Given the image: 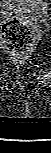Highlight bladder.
<instances>
[{
	"label": "bladder",
	"mask_w": 51,
	"mask_h": 153,
	"mask_svg": "<svg viewBox=\"0 0 51 153\" xmlns=\"http://www.w3.org/2000/svg\"><path fill=\"white\" fill-rule=\"evenodd\" d=\"M3 8L9 14H16L36 24L44 23L50 15L47 0H3Z\"/></svg>",
	"instance_id": "1"
}]
</instances>
